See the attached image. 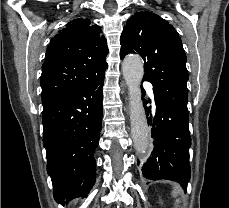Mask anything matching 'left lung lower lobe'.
<instances>
[{"label":"left lung lower lobe","instance_id":"left-lung-lower-lobe-1","mask_svg":"<svg viewBox=\"0 0 229 208\" xmlns=\"http://www.w3.org/2000/svg\"><path fill=\"white\" fill-rule=\"evenodd\" d=\"M154 101L156 110L151 132L154 137L153 150L147 162L142 166L143 176L151 180H173L186 189L191 177L188 112L174 107L155 90ZM148 102L144 100V106ZM146 111L152 118L151 107H146Z\"/></svg>","mask_w":229,"mask_h":208}]
</instances>
